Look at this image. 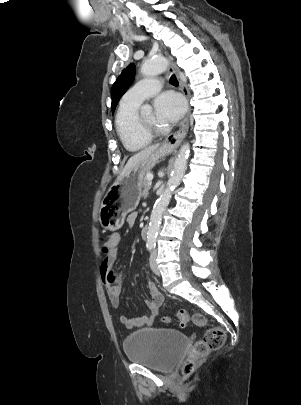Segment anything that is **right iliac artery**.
<instances>
[{
	"instance_id": "82829eb1",
	"label": "right iliac artery",
	"mask_w": 301,
	"mask_h": 405,
	"mask_svg": "<svg viewBox=\"0 0 301 405\" xmlns=\"http://www.w3.org/2000/svg\"><path fill=\"white\" fill-rule=\"evenodd\" d=\"M148 250L151 251V250H152V247H148Z\"/></svg>"
}]
</instances>
